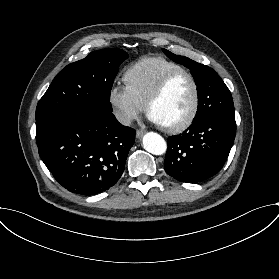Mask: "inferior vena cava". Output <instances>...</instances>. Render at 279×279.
Instances as JSON below:
<instances>
[{
    "label": "inferior vena cava",
    "instance_id": "602c4592",
    "mask_svg": "<svg viewBox=\"0 0 279 279\" xmlns=\"http://www.w3.org/2000/svg\"><path fill=\"white\" fill-rule=\"evenodd\" d=\"M115 117L118 120L119 123H121L122 125L128 126L131 124L132 122V117L124 112H116L115 113Z\"/></svg>",
    "mask_w": 279,
    "mask_h": 279
}]
</instances>
